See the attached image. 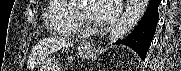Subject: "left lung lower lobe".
<instances>
[{
    "mask_svg": "<svg viewBox=\"0 0 181 71\" xmlns=\"http://www.w3.org/2000/svg\"><path fill=\"white\" fill-rule=\"evenodd\" d=\"M160 2L161 0H150L144 16L135 29L122 40H118L116 44L129 46L144 60L159 20L158 6Z\"/></svg>",
    "mask_w": 181,
    "mask_h": 71,
    "instance_id": "left-lung-lower-lobe-1",
    "label": "left lung lower lobe"
}]
</instances>
